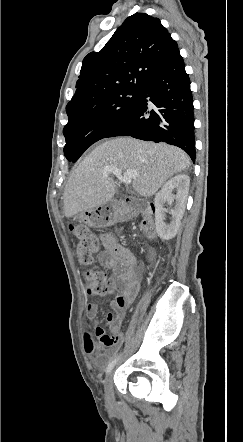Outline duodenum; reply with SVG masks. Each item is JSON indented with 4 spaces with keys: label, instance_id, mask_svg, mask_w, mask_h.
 Wrapping results in <instances>:
<instances>
[{
    "label": "duodenum",
    "instance_id": "410a0bca",
    "mask_svg": "<svg viewBox=\"0 0 243 442\" xmlns=\"http://www.w3.org/2000/svg\"><path fill=\"white\" fill-rule=\"evenodd\" d=\"M138 206L139 203L136 200L127 198L121 201L118 209L122 214L132 215L138 211ZM142 228L145 235L151 238L153 235L152 223L149 220H144L142 222Z\"/></svg>",
    "mask_w": 243,
    "mask_h": 442
}]
</instances>
